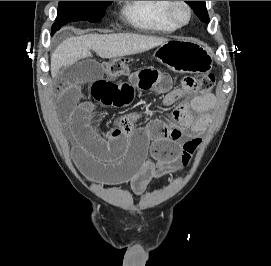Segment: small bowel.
<instances>
[{"instance_id":"1","label":"small bowel","mask_w":271,"mask_h":266,"mask_svg":"<svg viewBox=\"0 0 271 266\" xmlns=\"http://www.w3.org/2000/svg\"><path fill=\"white\" fill-rule=\"evenodd\" d=\"M124 74L127 81L113 82L104 76L98 62L89 59L58 67L56 110L75 141L74 162L89 180L128 183L134 193L142 194L152 180L181 169L180 141L204 130L215 98L211 94L190 97L181 89H172L170 76L150 65ZM85 87L92 101L82 100ZM136 89L164 93L166 107L177 104L172 120H153L136 129L140 114L133 113L117 119L109 130L98 131L92 121L94 102L124 107L132 102Z\"/></svg>"}]
</instances>
